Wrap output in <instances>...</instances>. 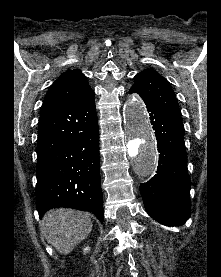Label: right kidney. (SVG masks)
<instances>
[{
    "mask_svg": "<svg viewBox=\"0 0 221 277\" xmlns=\"http://www.w3.org/2000/svg\"><path fill=\"white\" fill-rule=\"evenodd\" d=\"M89 250H90L89 247H85L84 250H83V252L86 253V252H88Z\"/></svg>",
    "mask_w": 221,
    "mask_h": 277,
    "instance_id": "right-kidney-1",
    "label": "right kidney"
}]
</instances>
